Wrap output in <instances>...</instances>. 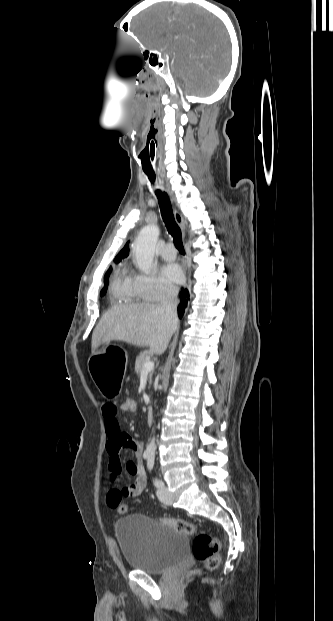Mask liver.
Wrapping results in <instances>:
<instances>
[{
  "label": "liver",
  "mask_w": 333,
  "mask_h": 621,
  "mask_svg": "<svg viewBox=\"0 0 333 621\" xmlns=\"http://www.w3.org/2000/svg\"><path fill=\"white\" fill-rule=\"evenodd\" d=\"M157 304H127L113 306L100 319L93 331L91 349L112 340L134 346H149L157 355L164 353L176 330Z\"/></svg>",
  "instance_id": "1"
}]
</instances>
